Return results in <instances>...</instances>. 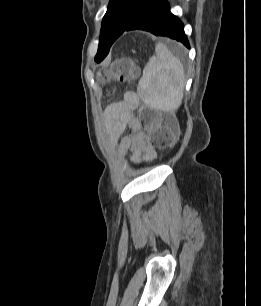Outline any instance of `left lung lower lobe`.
Wrapping results in <instances>:
<instances>
[{
    "mask_svg": "<svg viewBox=\"0 0 261 306\" xmlns=\"http://www.w3.org/2000/svg\"><path fill=\"white\" fill-rule=\"evenodd\" d=\"M135 29L149 31L156 36H167L190 47L183 23L170 12L166 0H146L123 32Z\"/></svg>",
    "mask_w": 261,
    "mask_h": 306,
    "instance_id": "obj_1",
    "label": "left lung lower lobe"
}]
</instances>
